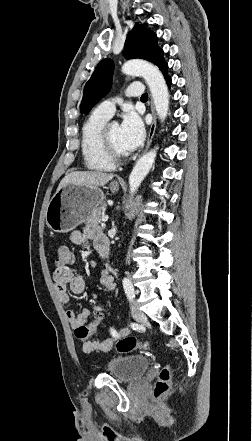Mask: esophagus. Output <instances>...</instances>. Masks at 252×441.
Segmentation results:
<instances>
[{
    "label": "esophagus",
    "instance_id": "1",
    "mask_svg": "<svg viewBox=\"0 0 252 441\" xmlns=\"http://www.w3.org/2000/svg\"><path fill=\"white\" fill-rule=\"evenodd\" d=\"M150 108H151V113H152L153 119H152V123L149 128L147 143H146V147L144 149V152H146L149 149L151 142H152V139L155 134V130H156V113H155V108H154V104H153L152 100L150 101Z\"/></svg>",
    "mask_w": 252,
    "mask_h": 441
}]
</instances>
